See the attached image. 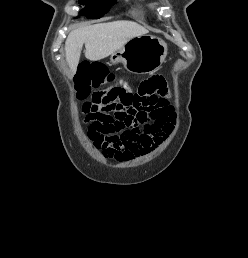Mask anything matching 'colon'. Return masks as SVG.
<instances>
[{"instance_id": "5ec220e1", "label": "colon", "mask_w": 248, "mask_h": 258, "mask_svg": "<svg viewBox=\"0 0 248 258\" xmlns=\"http://www.w3.org/2000/svg\"><path fill=\"white\" fill-rule=\"evenodd\" d=\"M104 81H112L104 77V68L88 62L82 64L78 76L77 95L86 100L83 111L89 122L88 132L97 135L119 131L131 122L132 114L124 112L113 95L96 91Z\"/></svg>"}]
</instances>
